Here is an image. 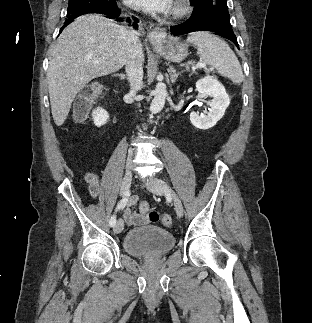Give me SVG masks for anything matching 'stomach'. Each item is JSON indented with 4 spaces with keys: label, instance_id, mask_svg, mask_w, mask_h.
Masks as SVG:
<instances>
[{
    "label": "stomach",
    "instance_id": "1",
    "mask_svg": "<svg viewBox=\"0 0 312 323\" xmlns=\"http://www.w3.org/2000/svg\"><path fill=\"white\" fill-rule=\"evenodd\" d=\"M161 54L169 62H182L188 54L187 46L179 42V38L167 36L164 38L161 46Z\"/></svg>",
    "mask_w": 312,
    "mask_h": 323
}]
</instances>
